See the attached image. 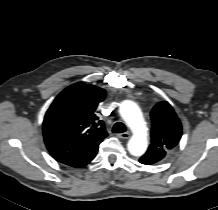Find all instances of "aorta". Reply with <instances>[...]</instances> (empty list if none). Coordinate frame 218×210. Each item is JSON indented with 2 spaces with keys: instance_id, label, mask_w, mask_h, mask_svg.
<instances>
[{
  "instance_id": "aorta-1",
  "label": "aorta",
  "mask_w": 218,
  "mask_h": 210,
  "mask_svg": "<svg viewBox=\"0 0 218 210\" xmlns=\"http://www.w3.org/2000/svg\"><path fill=\"white\" fill-rule=\"evenodd\" d=\"M119 113L126 122L133 135L128 141V151L133 156L143 155L148 147L147 128L138 105L130 100L120 104Z\"/></svg>"
}]
</instances>
